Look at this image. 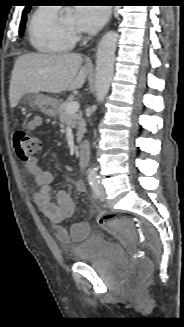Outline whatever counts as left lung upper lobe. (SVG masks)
Wrapping results in <instances>:
<instances>
[{"label":"left lung upper lobe","mask_w":184,"mask_h":327,"mask_svg":"<svg viewBox=\"0 0 184 327\" xmlns=\"http://www.w3.org/2000/svg\"><path fill=\"white\" fill-rule=\"evenodd\" d=\"M26 9L29 11V7L27 6Z\"/></svg>","instance_id":"1"}]
</instances>
